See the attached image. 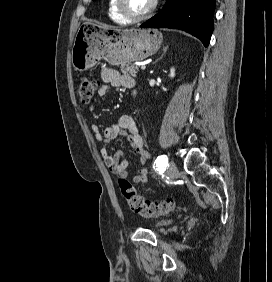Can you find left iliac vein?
I'll list each match as a JSON object with an SVG mask.
<instances>
[{"mask_svg":"<svg viewBox=\"0 0 272 282\" xmlns=\"http://www.w3.org/2000/svg\"><path fill=\"white\" fill-rule=\"evenodd\" d=\"M168 172L171 178L175 179L178 176V169L176 164L173 161H170L168 166Z\"/></svg>","mask_w":272,"mask_h":282,"instance_id":"1","label":"left iliac vein"}]
</instances>
